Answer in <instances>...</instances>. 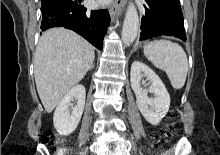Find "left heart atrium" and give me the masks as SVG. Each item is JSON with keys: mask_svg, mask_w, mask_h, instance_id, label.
I'll return each mask as SVG.
<instances>
[{"mask_svg": "<svg viewBox=\"0 0 220 155\" xmlns=\"http://www.w3.org/2000/svg\"><path fill=\"white\" fill-rule=\"evenodd\" d=\"M109 2V0H98V3L99 4H106V3H108Z\"/></svg>", "mask_w": 220, "mask_h": 155, "instance_id": "1", "label": "left heart atrium"}]
</instances>
